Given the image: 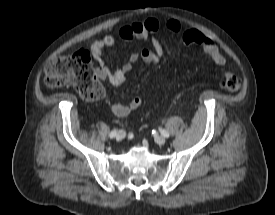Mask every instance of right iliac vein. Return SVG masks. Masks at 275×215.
Returning <instances> with one entry per match:
<instances>
[{
	"label": "right iliac vein",
	"mask_w": 275,
	"mask_h": 215,
	"mask_svg": "<svg viewBox=\"0 0 275 215\" xmlns=\"http://www.w3.org/2000/svg\"><path fill=\"white\" fill-rule=\"evenodd\" d=\"M125 136H126L125 131L119 130V131L117 132V134H116V139H117L118 141H120V140L124 139Z\"/></svg>",
	"instance_id": "right-iliac-vein-1"
}]
</instances>
